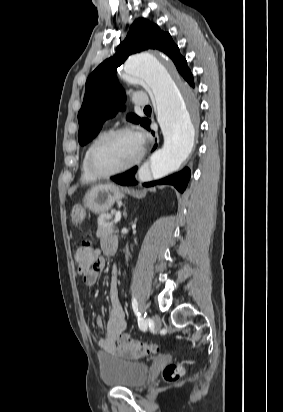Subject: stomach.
Wrapping results in <instances>:
<instances>
[{
	"mask_svg": "<svg viewBox=\"0 0 283 412\" xmlns=\"http://www.w3.org/2000/svg\"><path fill=\"white\" fill-rule=\"evenodd\" d=\"M123 197L124 191L113 184L97 185L85 194L82 205L73 206L72 221L74 224L81 223L86 216V209L95 214L108 212Z\"/></svg>",
	"mask_w": 283,
	"mask_h": 412,
	"instance_id": "obj_1",
	"label": "stomach"
}]
</instances>
